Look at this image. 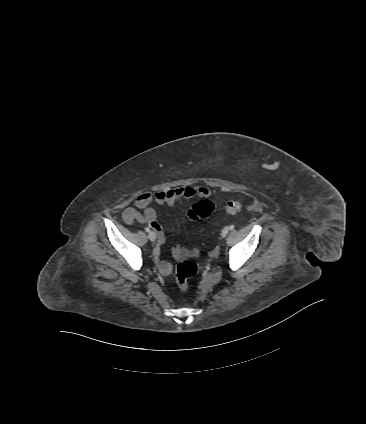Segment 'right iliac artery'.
Listing matches in <instances>:
<instances>
[{
  "label": "right iliac artery",
  "instance_id": "1",
  "mask_svg": "<svg viewBox=\"0 0 366 424\" xmlns=\"http://www.w3.org/2000/svg\"><path fill=\"white\" fill-rule=\"evenodd\" d=\"M146 232H150V229L148 227L145 228Z\"/></svg>",
  "mask_w": 366,
  "mask_h": 424
}]
</instances>
